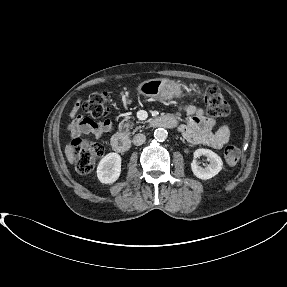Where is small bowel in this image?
<instances>
[{"instance_id":"1","label":"small bowel","mask_w":287,"mask_h":287,"mask_svg":"<svg viewBox=\"0 0 287 287\" xmlns=\"http://www.w3.org/2000/svg\"><path fill=\"white\" fill-rule=\"evenodd\" d=\"M180 109L189 116L187 123L180 126V132L190 143L220 149L229 141L228 125L223 124L214 130V121L205 115L203 109L192 104L182 105ZM69 117L68 129L74 137L84 134L100 138L114 130L110 121L96 122L79 115L78 106L71 110Z\"/></svg>"}]
</instances>
